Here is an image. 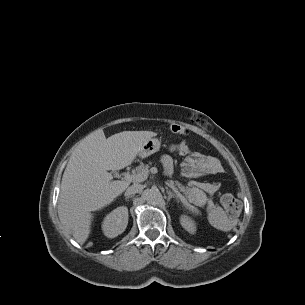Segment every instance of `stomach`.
<instances>
[{
    "label": "stomach",
    "instance_id": "obj_1",
    "mask_svg": "<svg viewBox=\"0 0 305 305\" xmlns=\"http://www.w3.org/2000/svg\"><path fill=\"white\" fill-rule=\"evenodd\" d=\"M161 146V142L157 138H150L147 141L143 143L141 146V149L138 153V156L140 158H146L150 156L151 154H154L155 152L159 151Z\"/></svg>",
    "mask_w": 305,
    "mask_h": 305
}]
</instances>
